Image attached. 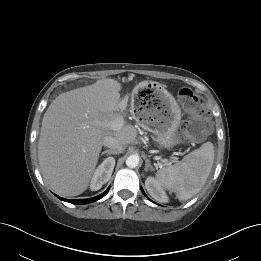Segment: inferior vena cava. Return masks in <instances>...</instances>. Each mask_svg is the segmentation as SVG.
<instances>
[{
  "label": "inferior vena cava",
  "instance_id": "602c4592",
  "mask_svg": "<svg viewBox=\"0 0 261 261\" xmlns=\"http://www.w3.org/2000/svg\"><path fill=\"white\" fill-rule=\"evenodd\" d=\"M103 144L115 154H119L123 152L122 144L115 137L112 136L104 137Z\"/></svg>",
  "mask_w": 261,
  "mask_h": 261
}]
</instances>
